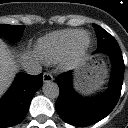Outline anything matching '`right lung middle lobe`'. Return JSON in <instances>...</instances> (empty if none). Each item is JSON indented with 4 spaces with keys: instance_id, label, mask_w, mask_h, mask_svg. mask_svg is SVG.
Listing matches in <instances>:
<instances>
[{
    "instance_id": "obj_1",
    "label": "right lung middle lobe",
    "mask_w": 128,
    "mask_h": 128,
    "mask_svg": "<svg viewBox=\"0 0 128 128\" xmlns=\"http://www.w3.org/2000/svg\"><path fill=\"white\" fill-rule=\"evenodd\" d=\"M23 26L0 25V36L9 37L14 40L21 38Z\"/></svg>"
}]
</instances>
